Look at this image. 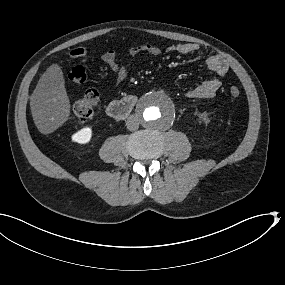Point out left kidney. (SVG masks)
Wrapping results in <instances>:
<instances>
[{
    "mask_svg": "<svg viewBox=\"0 0 285 285\" xmlns=\"http://www.w3.org/2000/svg\"><path fill=\"white\" fill-rule=\"evenodd\" d=\"M199 121H200L201 123L208 124V123H209V116H208V113H207V112H202L201 115H200Z\"/></svg>",
    "mask_w": 285,
    "mask_h": 285,
    "instance_id": "left-kidney-1",
    "label": "left kidney"
}]
</instances>
